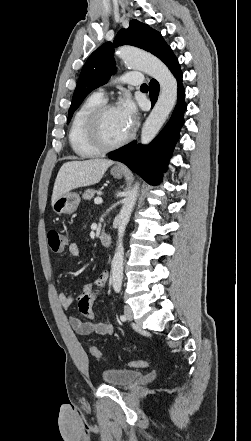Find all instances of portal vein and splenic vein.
Instances as JSON below:
<instances>
[{"label": "portal vein and splenic vein", "mask_w": 251, "mask_h": 441, "mask_svg": "<svg viewBox=\"0 0 251 441\" xmlns=\"http://www.w3.org/2000/svg\"><path fill=\"white\" fill-rule=\"evenodd\" d=\"M102 202H103V200H102L101 197H96V198L94 199V203H95V204H101Z\"/></svg>", "instance_id": "portal-vein-and-splenic-vein-1"}]
</instances>
